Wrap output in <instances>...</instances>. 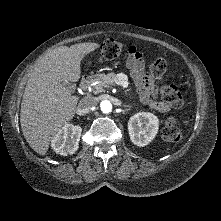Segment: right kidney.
I'll use <instances>...</instances> for the list:
<instances>
[{
	"label": "right kidney",
	"mask_w": 221,
	"mask_h": 221,
	"mask_svg": "<svg viewBox=\"0 0 221 221\" xmlns=\"http://www.w3.org/2000/svg\"><path fill=\"white\" fill-rule=\"evenodd\" d=\"M82 129L72 124L64 125L52 140L51 146L57 154H73L79 147Z\"/></svg>",
	"instance_id": "1"
}]
</instances>
